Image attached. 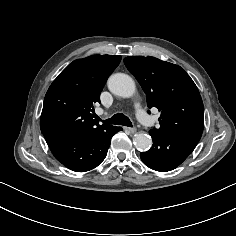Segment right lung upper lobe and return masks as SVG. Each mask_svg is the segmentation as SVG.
Listing matches in <instances>:
<instances>
[{
	"label": "right lung upper lobe",
	"mask_w": 236,
	"mask_h": 236,
	"mask_svg": "<svg viewBox=\"0 0 236 236\" xmlns=\"http://www.w3.org/2000/svg\"><path fill=\"white\" fill-rule=\"evenodd\" d=\"M121 56L93 55L69 64L49 87L40 118L45 137L91 132L105 127L93 120V104Z\"/></svg>",
	"instance_id": "right-lung-upper-lobe-1"
}]
</instances>
